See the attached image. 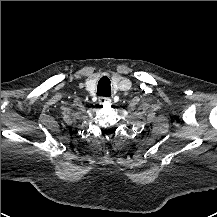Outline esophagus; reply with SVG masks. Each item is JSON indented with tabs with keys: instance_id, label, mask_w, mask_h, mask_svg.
I'll use <instances>...</instances> for the list:
<instances>
[{
	"instance_id": "esophagus-1",
	"label": "esophagus",
	"mask_w": 217,
	"mask_h": 217,
	"mask_svg": "<svg viewBox=\"0 0 217 217\" xmlns=\"http://www.w3.org/2000/svg\"><path fill=\"white\" fill-rule=\"evenodd\" d=\"M111 101L112 100L110 97H100L99 98V103L103 104V105L109 104V103H111Z\"/></svg>"
}]
</instances>
